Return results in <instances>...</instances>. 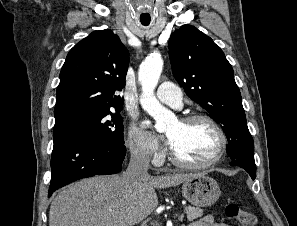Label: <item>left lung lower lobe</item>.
Returning <instances> with one entry per match:
<instances>
[{"label":"left lung lower lobe","mask_w":297,"mask_h":226,"mask_svg":"<svg viewBox=\"0 0 297 226\" xmlns=\"http://www.w3.org/2000/svg\"><path fill=\"white\" fill-rule=\"evenodd\" d=\"M231 166H239L243 169H245L251 178L254 180L256 177V165L255 161L253 159L250 160H233L230 163Z\"/></svg>","instance_id":"left-lung-lower-lobe-1"}]
</instances>
